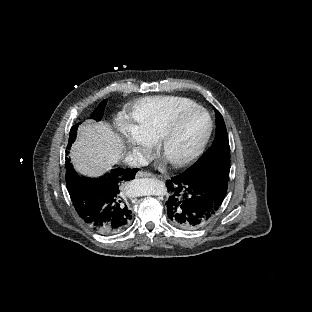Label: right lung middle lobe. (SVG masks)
<instances>
[{"label": "right lung middle lobe", "instance_id": "obj_1", "mask_svg": "<svg viewBox=\"0 0 312 312\" xmlns=\"http://www.w3.org/2000/svg\"><path fill=\"white\" fill-rule=\"evenodd\" d=\"M106 103L107 101L106 100H103L99 105L98 107L95 109V111L91 114L90 118L91 119H94L96 121H100L101 118H102V115H103V112H104V109H105V106H106ZM80 123L72 126L71 130H70V135H69V143H68V146H67V149H70L71 147V144L75 141V138H76V133H77V127ZM68 153V151H66Z\"/></svg>", "mask_w": 312, "mask_h": 312}]
</instances>
